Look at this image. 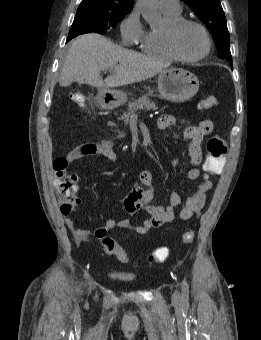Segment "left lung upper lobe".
<instances>
[{
	"label": "left lung upper lobe",
	"instance_id": "1",
	"mask_svg": "<svg viewBox=\"0 0 261 340\" xmlns=\"http://www.w3.org/2000/svg\"><path fill=\"white\" fill-rule=\"evenodd\" d=\"M206 25L213 36L220 55L232 60L229 46V32L220 0H183Z\"/></svg>",
	"mask_w": 261,
	"mask_h": 340
}]
</instances>
